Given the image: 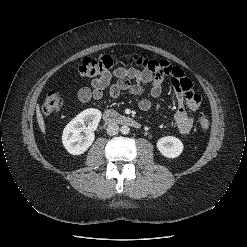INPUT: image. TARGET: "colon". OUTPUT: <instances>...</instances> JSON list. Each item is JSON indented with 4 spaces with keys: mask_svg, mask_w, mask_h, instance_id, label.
Returning a JSON list of instances; mask_svg holds the SVG:
<instances>
[{
    "mask_svg": "<svg viewBox=\"0 0 247 247\" xmlns=\"http://www.w3.org/2000/svg\"><path fill=\"white\" fill-rule=\"evenodd\" d=\"M120 64L119 58L115 56H103L100 58H85L79 67V72L87 78H98L110 73L117 65ZM63 105V100L55 91H49L42 103V113L45 116L58 112ZM196 123L200 129H207L210 125L209 117L201 112L196 116Z\"/></svg>",
    "mask_w": 247,
    "mask_h": 247,
    "instance_id": "colon-1",
    "label": "colon"
}]
</instances>
